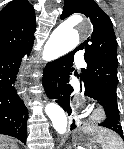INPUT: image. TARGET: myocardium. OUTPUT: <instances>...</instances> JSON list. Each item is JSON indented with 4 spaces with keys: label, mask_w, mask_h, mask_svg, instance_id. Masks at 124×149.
I'll list each match as a JSON object with an SVG mask.
<instances>
[{
    "label": "myocardium",
    "mask_w": 124,
    "mask_h": 149,
    "mask_svg": "<svg viewBox=\"0 0 124 149\" xmlns=\"http://www.w3.org/2000/svg\"><path fill=\"white\" fill-rule=\"evenodd\" d=\"M106 119V111L103 106L96 105L92 108L90 113V122L93 124H101Z\"/></svg>",
    "instance_id": "f54148a6"
}]
</instances>
